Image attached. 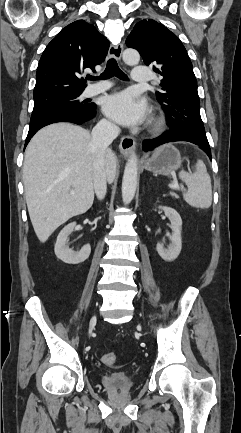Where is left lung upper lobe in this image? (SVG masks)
I'll list each match as a JSON object with an SVG mask.
<instances>
[{"instance_id":"obj_1","label":"left lung upper lobe","mask_w":241,"mask_h":433,"mask_svg":"<svg viewBox=\"0 0 241 433\" xmlns=\"http://www.w3.org/2000/svg\"><path fill=\"white\" fill-rule=\"evenodd\" d=\"M126 44L140 53L146 65L154 64V71L163 76V91L156 95L170 129L208 142L192 63L176 35L162 24L145 19L134 26Z\"/></svg>"}]
</instances>
